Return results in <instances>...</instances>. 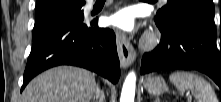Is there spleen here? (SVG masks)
<instances>
[{
  "instance_id": "obj_1",
  "label": "spleen",
  "mask_w": 221,
  "mask_h": 102,
  "mask_svg": "<svg viewBox=\"0 0 221 102\" xmlns=\"http://www.w3.org/2000/svg\"><path fill=\"white\" fill-rule=\"evenodd\" d=\"M170 82L178 89L181 95L189 90L197 102H218L211 85L202 77L185 71H176L169 76Z\"/></svg>"
}]
</instances>
